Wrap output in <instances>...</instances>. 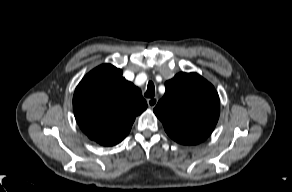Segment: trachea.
<instances>
[{"mask_svg":"<svg viewBox=\"0 0 292 192\" xmlns=\"http://www.w3.org/2000/svg\"><path fill=\"white\" fill-rule=\"evenodd\" d=\"M155 95V86L153 82H149L147 86V91L145 92V96L148 98H153Z\"/></svg>","mask_w":292,"mask_h":192,"instance_id":"trachea-1","label":"trachea"}]
</instances>
